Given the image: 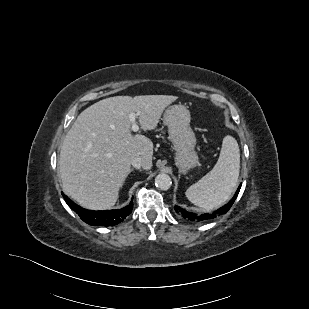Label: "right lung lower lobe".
<instances>
[{"label": "right lung lower lobe", "mask_w": 309, "mask_h": 309, "mask_svg": "<svg viewBox=\"0 0 309 309\" xmlns=\"http://www.w3.org/2000/svg\"><path fill=\"white\" fill-rule=\"evenodd\" d=\"M63 198L69 207L74 210L79 217L89 225L96 226H114L122 222L133 209V202L122 209L118 210H106V211H93L84 209L74 202H72L67 196L63 194Z\"/></svg>", "instance_id": "obj_1"}]
</instances>
